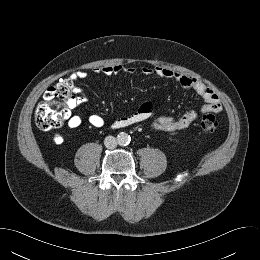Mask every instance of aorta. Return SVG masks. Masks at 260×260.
<instances>
[{
    "mask_svg": "<svg viewBox=\"0 0 260 260\" xmlns=\"http://www.w3.org/2000/svg\"><path fill=\"white\" fill-rule=\"evenodd\" d=\"M117 141H118L119 145L126 146V145H128L130 143L131 137L127 133L121 132L117 136Z\"/></svg>",
    "mask_w": 260,
    "mask_h": 260,
    "instance_id": "1",
    "label": "aorta"
}]
</instances>
